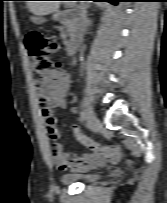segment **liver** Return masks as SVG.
Here are the masks:
<instances>
[{
	"mask_svg": "<svg viewBox=\"0 0 167 203\" xmlns=\"http://www.w3.org/2000/svg\"><path fill=\"white\" fill-rule=\"evenodd\" d=\"M59 1H27L28 9L35 15H46L56 11Z\"/></svg>",
	"mask_w": 167,
	"mask_h": 203,
	"instance_id": "1",
	"label": "liver"
}]
</instances>
